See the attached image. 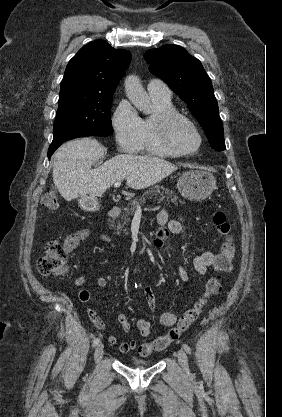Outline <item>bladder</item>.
<instances>
[{
	"label": "bladder",
	"mask_w": 282,
	"mask_h": 417,
	"mask_svg": "<svg viewBox=\"0 0 282 417\" xmlns=\"http://www.w3.org/2000/svg\"><path fill=\"white\" fill-rule=\"evenodd\" d=\"M130 362L133 366L136 367L147 366L149 364L148 361L136 357H133Z\"/></svg>",
	"instance_id": "31cf9c89"
}]
</instances>
